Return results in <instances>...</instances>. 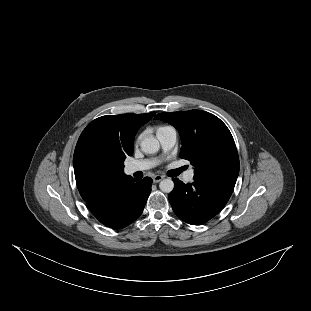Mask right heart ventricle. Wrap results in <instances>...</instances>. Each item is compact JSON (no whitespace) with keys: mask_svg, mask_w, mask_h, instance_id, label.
<instances>
[{"mask_svg":"<svg viewBox=\"0 0 311 311\" xmlns=\"http://www.w3.org/2000/svg\"><path fill=\"white\" fill-rule=\"evenodd\" d=\"M168 127H170V126H160V127L157 128V131H158V130L165 129V128H168Z\"/></svg>","mask_w":311,"mask_h":311,"instance_id":"right-heart-ventricle-1","label":"right heart ventricle"}]
</instances>
